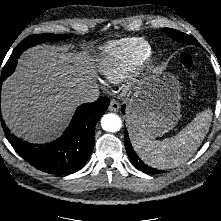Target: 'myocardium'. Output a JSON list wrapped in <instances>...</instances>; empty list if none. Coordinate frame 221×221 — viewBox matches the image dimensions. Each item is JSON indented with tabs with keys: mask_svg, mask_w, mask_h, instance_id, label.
<instances>
[{
	"mask_svg": "<svg viewBox=\"0 0 221 221\" xmlns=\"http://www.w3.org/2000/svg\"><path fill=\"white\" fill-rule=\"evenodd\" d=\"M144 61L151 62L152 61V53H150Z\"/></svg>",
	"mask_w": 221,
	"mask_h": 221,
	"instance_id": "myocardium-1",
	"label": "myocardium"
}]
</instances>
